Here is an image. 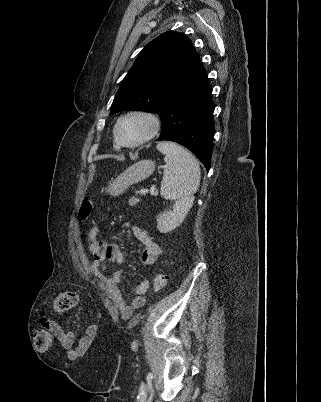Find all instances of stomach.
I'll return each mask as SVG.
<instances>
[{
	"instance_id": "stomach-1",
	"label": "stomach",
	"mask_w": 321,
	"mask_h": 402,
	"mask_svg": "<svg viewBox=\"0 0 321 402\" xmlns=\"http://www.w3.org/2000/svg\"><path fill=\"white\" fill-rule=\"evenodd\" d=\"M155 169V163L152 160H141L123 173L112 180L107 189L106 193L111 196H118L122 194L131 184L138 183L147 177H149Z\"/></svg>"
}]
</instances>
